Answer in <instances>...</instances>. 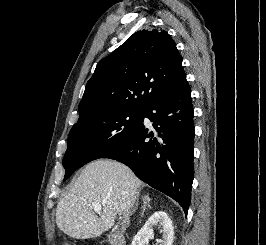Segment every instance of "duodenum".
Here are the masks:
<instances>
[{
  "mask_svg": "<svg viewBox=\"0 0 266 245\" xmlns=\"http://www.w3.org/2000/svg\"><path fill=\"white\" fill-rule=\"evenodd\" d=\"M112 245H124V243L119 237H117V238H114Z\"/></svg>",
  "mask_w": 266,
  "mask_h": 245,
  "instance_id": "duodenum-1",
  "label": "duodenum"
}]
</instances>
